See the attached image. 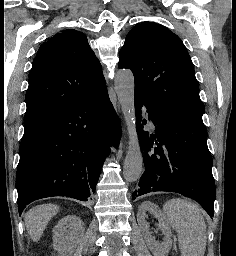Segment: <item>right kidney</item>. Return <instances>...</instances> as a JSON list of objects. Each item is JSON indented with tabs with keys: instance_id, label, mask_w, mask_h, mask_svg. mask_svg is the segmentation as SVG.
Returning a JSON list of instances; mask_svg holds the SVG:
<instances>
[{
	"instance_id": "ca27d5eb",
	"label": "right kidney",
	"mask_w": 236,
	"mask_h": 256,
	"mask_svg": "<svg viewBox=\"0 0 236 256\" xmlns=\"http://www.w3.org/2000/svg\"><path fill=\"white\" fill-rule=\"evenodd\" d=\"M84 224L78 216H64L53 230V248L58 256H73L84 240Z\"/></svg>"
}]
</instances>
